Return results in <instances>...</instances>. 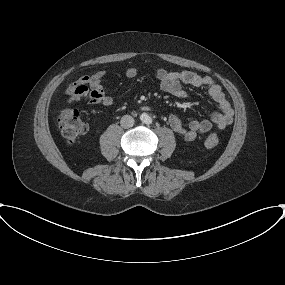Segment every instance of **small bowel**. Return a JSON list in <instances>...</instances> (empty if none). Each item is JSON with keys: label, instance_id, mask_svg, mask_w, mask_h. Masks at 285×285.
Instances as JSON below:
<instances>
[{"label": "small bowel", "instance_id": "1", "mask_svg": "<svg viewBox=\"0 0 285 285\" xmlns=\"http://www.w3.org/2000/svg\"><path fill=\"white\" fill-rule=\"evenodd\" d=\"M139 70L134 67L126 69V75L130 78L137 76ZM105 75L104 70L97 71L92 75H85L70 83L65 90V96L70 103L80 99H87L90 104H101L111 106L113 98L107 95L102 85V79ZM154 76L159 82L162 91L172 94L181 99L188 97L184 90V85H190L196 88H205L209 96L216 103L218 111L214 112L210 119L193 120L186 128L183 126L177 115L172 114L169 117L171 128L178 133L184 141L191 142L201 134H205L213 127L217 130H223L233 121V109L226 99L221 87L210 76H201L192 71L173 72L166 69H157Z\"/></svg>", "mask_w": 285, "mask_h": 285}]
</instances>
